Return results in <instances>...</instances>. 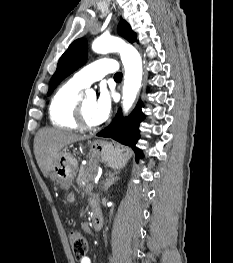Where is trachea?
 <instances>
[{
    "instance_id": "3493384b",
    "label": "trachea",
    "mask_w": 233,
    "mask_h": 263,
    "mask_svg": "<svg viewBox=\"0 0 233 263\" xmlns=\"http://www.w3.org/2000/svg\"><path fill=\"white\" fill-rule=\"evenodd\" d=\"M114 79L120 81L122 79V73L118 72L114 75Z\"/></svg>"
}]
</instances>
